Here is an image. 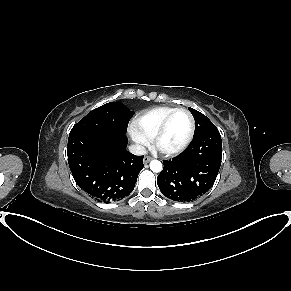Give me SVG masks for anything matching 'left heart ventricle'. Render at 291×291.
I'll list each match as a JSON object with an SVG mask.
<instances>
[{"label": "left heart ventricle", "instance_id": "b2bd125f", "mask_svg": "<svg viewBox=\"0 0 291 291\" xmlns=\"http://www.w3.org/2000/svg\"><path fill=\"white\" fill-rule=\"evenodd\" d=\"M190 129V118L184 112L175 114L169 122L168 128L162 137L161 146L173 149L180 146L186 139Z\"/></svg>", "mask_w": 291, "mask_h": 291}]
</instances>
